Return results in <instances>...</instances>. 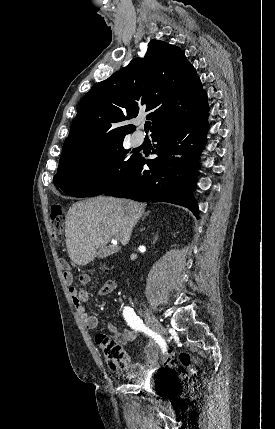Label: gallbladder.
Listing matches in <instances>:
<instances>
[{
  "mask_svg": "<svg viewBox=\"0 0 275 429\" xmlns=\"http://www.w3.org/2000/svg\"><path fill=\"white\" fill-rule=\"evenodd\" d=\"M115 249L112 247H102L98 250L96 256L98 258H106L114 253Z\"/></svg>",
  "mask_w": 275,
  "mask_h": 429,
  "instance_id": "1",
  "label": "gallbladder"
}]
</instances>
